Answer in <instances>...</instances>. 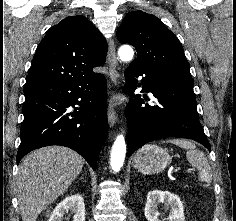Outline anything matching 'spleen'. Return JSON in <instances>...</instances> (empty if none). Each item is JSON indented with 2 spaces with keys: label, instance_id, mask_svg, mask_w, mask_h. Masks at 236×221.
I'll list each match as a JSON object with an SVG mask.
<instances>
[{
  "label": "spleen",
  "instance_id": "spleen-1",
  "mask_svg": "<svg viewBox=\"0 0 236 221\" xmlns=\"http://www.w3.org/2000/svg\"><path fill=\"white\" fill-rule=\"evenodd\" d=\"M165 141H163L164 143ZM166 142H170L175 144L181 148L187 150V159L190 164L196 167L199 171V180L202 182L210 183L212 180V173L209 162L205 156V154L196 149V146L193 142L185 139H172Z\"/></svg>",
  "mask_w": 236,
  "mask_h": 221
}]
</instances>
